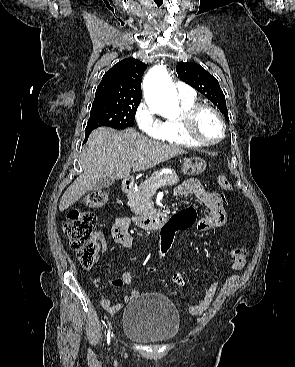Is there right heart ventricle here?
I'll return each instance as SVG.
<instances>
[{
    "mask_svg": "<svg viewBox=\"0 0 295 367\" xmlns=\"http://www.w3.org/2000/svg\"><path fill=\"white\" fill-rule=\"evenodd\" d=\"M182 114L196 104L195 99L181 100ZM160 140L183 147H199L200 144L192 141L183 128L181 117L177 119H168L164 122V133Z\"/></svg>",
    "mask_w": 295,
    "mask_h": 367,
    "instance_id": "e07e8e85",
    "label": "right heart ventricle"
}]
</instances>
